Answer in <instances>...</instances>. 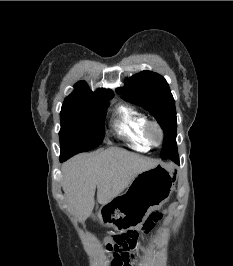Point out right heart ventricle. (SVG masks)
<instances>
[{
	"label": "right heart ventricle",
	"mask_w": 233,
	"mask_h": 266,
	"mask_svg": "<svg viewBox=\"0 0 233 266\" xmlns=\"http://www.w3.org/2000/svg\"><path fill=\"white\" fill-rule=\"evenodd\" d=\"M147 117L139 110L121 105L117 109L115 129L117 133L127 139L136 149L147 150L149 144L144 136Z\"/></svg>",
	"instance_id": "1"
}]
</instances>
